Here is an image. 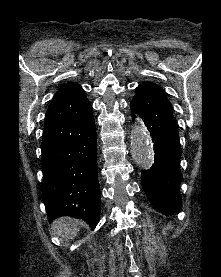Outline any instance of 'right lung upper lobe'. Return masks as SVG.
I'll list each match as a JSON object with an SVG mask.
<instances>
[{"instance_id": "right-lung-upper-lobe-1", "label": "right lung upper lobe", "mask_w": 221, "mask_h": 277, "mask_svg": "<svg viewBox=\"0 0 221 277\" xmlns=\"http://www.w3.org/2000/svg\"><path fill=\"white\" fill-rule=\"evenodd\" d=\"M78 90H81V87L77 83L70 82L68 84L63 85L55 94L53 99L68 95Z\"/></svg>"}]
</instances>
